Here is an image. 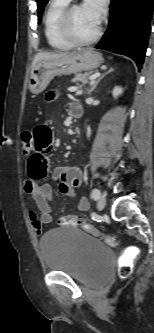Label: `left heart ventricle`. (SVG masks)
<instances>
[{
    "mask_svg": "<svg viewBox=\"0 0 154 333\" xmlns=\"http://www.w3.org/2000/svg\"><path fill=\"white\" fill-rule=\"evenodd\" d=\"M71 26L79 38L88 39L97 31L99 22L93 19L82 6H79L72 12Z\"/></svg>",
    "mask_w": 154,
    "mask_h": 333,
    "instance_id": "left-heart-ventricle-1",
    "label": "left heart ventricle"
}]
</instances>
